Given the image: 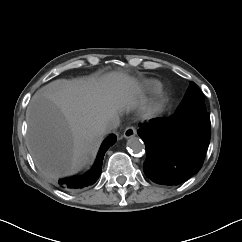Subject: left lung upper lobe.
<instances>
[{
    "label": "left lung upper lobe",
    "instance_id": "obj_1",
    "mask_svg": "<svg viewBox=\"0 0 242 242\" xmlns=\"http://www.w3.org/2000/svg\"><path fill=\"white\" fill-rule=\"evenodd\" d=\"M193 110H206L204 97L198 86L191 82L175 114Z\"/></svg>",
    "mask_w": 242,
    "mask_h": 242
}]
</instances>
